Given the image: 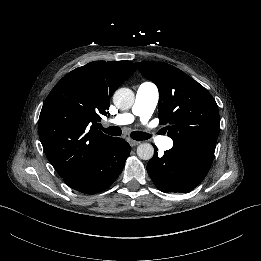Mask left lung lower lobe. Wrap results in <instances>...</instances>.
Returning <instances> with one entry per match:
<instances>
[{
    "label": "left lung lower lobe",
    "instance_id": "0a47b994",
    "mask_svg": "<svg viewBox=\"0 0 261 261\" xmlns=\"http://www.w3.org/2000/svg\"><path fill=\"white\" fill-rule=\"evenodd\" d=\"M214 151L194 145H173L162 157L157 149L147 164V172L156 187L164 193H187L207 175Z\"/></svg>",
    "mask_w": 261,
    "mask_h": 261
}]
</instances>
